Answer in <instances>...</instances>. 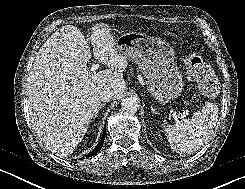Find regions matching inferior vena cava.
<instances>
[{"instance_id":"602c4592","label":"inferior vena cava","mask_w":245,"mask_h":189,"mask_svg":"<svg viewBox=\"0 0 245 189\" xmlns=\"http://www.w3.org/2000/svg\"><path fill=\"white\" fill-rule=\"evenodd\" d=\"M100 100L101 101H104V102H109L111 101L112 99L115 98V94L112 90H103L101 93H100V96H99Z\"/></svg>"}]
</instances>
